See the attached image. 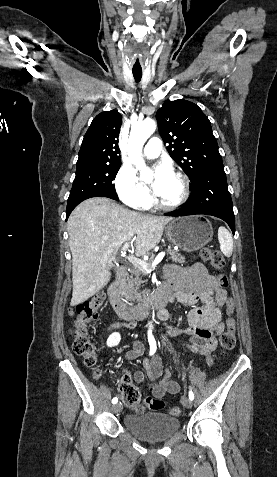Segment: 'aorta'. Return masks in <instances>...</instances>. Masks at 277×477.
I'll return each mask as SVG.
<instances>
[{
    "label": "aorta",
    "instance_id": "obj_1",
    "mask_svg": "<svg viewBox=\"0 0 277 477\" xmlns=\"http://www.w3.org/2000/svg\"><path fill=\"white\" fill-rule=\"evenodd\" d=\"M156 123L152 119L133 124L129 136L128 155L134 166L141 171L143 180H152V173L147 169L142 158V148L146 140L155 132Z\"/></svg>",
    "mask_w": 277,
    "mask_h": 477
}]
</instances>
